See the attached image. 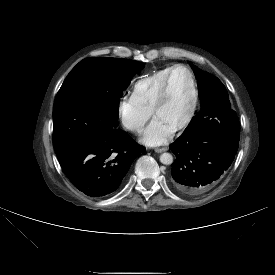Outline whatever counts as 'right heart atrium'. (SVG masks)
<instances>
[{
  "label": "right heart atrium",
  "mask_w": 275,
  "mask_h": 275,
  "mask_svg": "<svg viewBox=\"0 0 275 275\" xmlns=\"http://www.w3.org/2000/svg\"><path fill=\"white\" fill-rule=\"evenodd\" d=\"M116 112L122 127L133 133H139L152 115V111L140 105L132 95L120 98Z\"/></svg>",
  "instance_id": "1"
}]
</instances>
